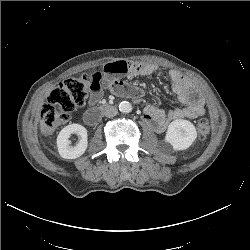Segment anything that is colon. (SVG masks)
I'll return each instance as SVG.
<instances>
[{
  "label": "colon",
  "instance_id": "colon-1",
  "mask_svg": "<svg viewBox=\"0 0 250 250\" xmlns=\"http://www.w3.org/2000/svg\"><path fill=\"white\" fill-rule=\"evenodd\" d=\"M92 77L89 74L70 77L60 82L50 93L40 112L41 129L45 134L54 133L70 120L71 113L83 106L91 91ZM198 138L206 139L210 133L209 120L197 122Z\"/></svg>",
  "mask_w": 250,
  "mask_h": 250
}]
</instances>
